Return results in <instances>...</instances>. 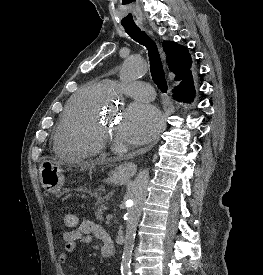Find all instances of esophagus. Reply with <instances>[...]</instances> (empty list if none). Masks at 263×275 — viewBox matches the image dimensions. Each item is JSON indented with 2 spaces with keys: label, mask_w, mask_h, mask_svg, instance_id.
<instances>
[{
  "label": "esophagus",
  "mask_w": 263,
  "mask_h": 275,
  "mask_svg": "<svg viewBox=\"0 0 263 275\" xmlns=\"http://www.w3.org/2000/svg\"><path fill=\"white\" fill-rule=\"evenodd\" d=\"M160 51L162 52V49L160 48ZM162 57L164 58V54L162 53ZM166 119H167V114L164 113L163 115V129L166 128ZM159 140V136L157 139L146 149L144 150H150ZM137 166L134 162H125L119 166V171L122 172L124 175L131 177L136 173Z\"/></svg>",
  "instance_id": "esophagus-1"
}]
</instances>
